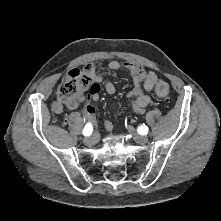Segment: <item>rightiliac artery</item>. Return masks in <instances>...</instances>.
Instances as JSON below:
<instances>
[{"mask_svg":"<svg viewBox=\"0 0 221 221\" xmlns=\"http://www.w3.org/2000/svg\"><path fill=\"white\" fill-rule=\"evenodd\" d=\"M93 132V127L91 123H87L83 129V135L84 136H90Z\"/></svg>","mask_w":221,"mask_h":221,"instance_id":"obj_1","label":"right iliac artery"}]
</instances>
